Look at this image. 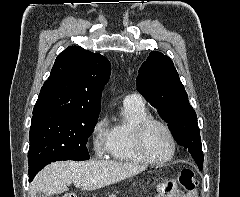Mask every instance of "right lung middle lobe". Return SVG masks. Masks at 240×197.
I'll list each match as a JSON object with an SVG mask.
<instances>
[{"mask_svg": "<svg viewBox=\"0 0 240 197\" xmlns=\"http://www.w3.org/2000/svg\"><path fill=\"white\" fill-rule=\"evenodd\" d=\"M97 119L98 114H33L28 151L30 181L51 162L88 160L90 156L86 144Z\"/></svg>", "mask_w": 240, "mask_h": 197, "instance_id": "dd1d6c3e", "label": "right lung middle lobe"}]
</instances>
